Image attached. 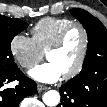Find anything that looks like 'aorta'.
<instances>
[{
	"label": "aorta",
	"mask_w": 107,
	"mask_h": 107,
	"mask_svg": "<svg viewBox=\"0 0 107 107\" xmlns=\"http://www.w3.org/2000/svg\"><path fill=\"white\" fill-rule=\"evenodd\" d=\"M43 102L48 107H56L60 102V94L56 90H49L43 95Z\"/></svg>",
	"instance_id": "obj_1"
}]
</instances>
